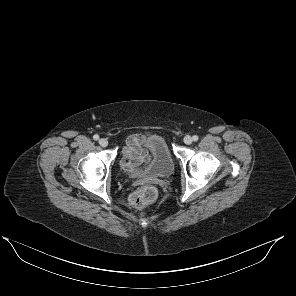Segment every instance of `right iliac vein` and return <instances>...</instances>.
<instances>
[{
    "label": "right iliac vein",
    "mask_w": 296,
    "mask_h": 296,
    "mask_svg": "<svg viewBox=\"0 0 296 296\" xmlns=\"http://www.w3.org/2000/svg\"><path fill=\"white\" fill-rule=\"evenodd\" d=\"M99 144H100V146H102V147H106V146L108 145V140L105 139V138H101V139L99 140Z\"/></svg>",
    "instance_id": "right-iliac-vein-1"
}]
</instances>
